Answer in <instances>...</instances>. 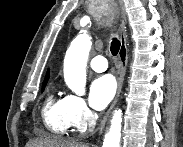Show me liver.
I'll list each match as a JSON object with an SVG mask.
<instances>
[{
  "mask_svg": "<svg viewBox=\"0 0 183 147\" xmlns=\"http://www.w3.org/2000/svg\"><path fill=\"white\" fill-rule=\"evenodd\" d=\"M26 147H87L85 144L67 141L57 137L44 136L29 141Z\"/></svg>",
  "mask_w": 183,
  "mask_h": 147,
  "instance_id": "liver-1",
  "label": "liver"
}]
</instances>
